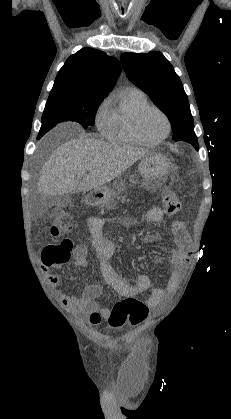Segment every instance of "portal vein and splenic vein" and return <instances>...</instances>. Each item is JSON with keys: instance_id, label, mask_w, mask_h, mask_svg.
<instances>
[{"instance_id": "obj_1", "label": "portal vein and splenic vein", "mask_w": 231, "mask_h": 419, "mask_svg": "<svg viewBox=\"0 0 231 419\" xmlns=\"http://www.w3.org/2000/svg\"><path fill=\"white\" fill-rule=\"evenodd\" d=\"M84 175H86V172H81V173H79L78 177L80 178V177H82Z\"/></svg>"}]
</instances>
